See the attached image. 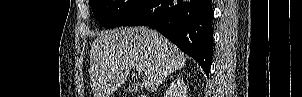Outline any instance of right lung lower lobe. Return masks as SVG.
Segmentation results:
<instances>
[{
    "label": "right lung lower lobe",
    "mask_w": 302,
    "mask_h": 97,
    "mask_svg": "<svg viewBox=\"0 0 302 97\" xmlns=\"http://www.w3.org/2000/svg\"><path fill=\"white\" fill-rule=\"evenodd\" d=\"M212 0H147L123 26L148 25L199 62L209 76Z\"/></svg>",
    "instance_id": "obj_1"
}]
</instances>
